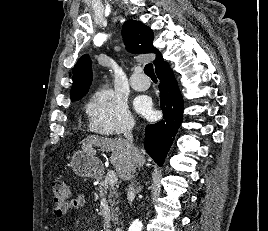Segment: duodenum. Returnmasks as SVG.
<instances>
[{
	"label": "duodenum",
	"instance_id": "1",
	"mask_svg": "<svg viewBox=\"0 0 268 231\" xmlns=\"http://www.w3.org/2000/svg\"><path fill=\"white\" fill-rule=\"evenodd\" d=\"M116 231H124L122 228H117Z\"/></svg>",
	"mask_w": 268,
	"mask_h": 231
}]
</instances>
